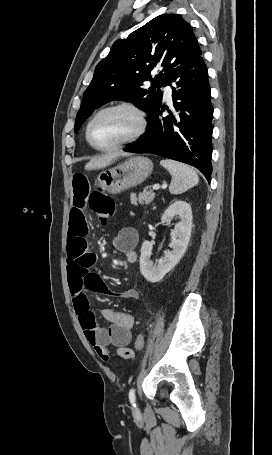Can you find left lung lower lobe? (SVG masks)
Here are the masks:
<instances>
[{
	"instance_id": "0a47b994",
	"label": "left lung lower lobe",
	"mask_w": 272,
	"mask_h": 455,
	"mask_svg": "<svg viewBox=\"0 0 272 455\" xmlns=\"http://www.w3.org/2000/svg\"><path fill=\"white\" fill-rule=\"evenodd\" d=\"M172 82L176 85L172 87L176 113L164 117L165 106L160 103L149 116L147 132L124 151L152 153L190 164L210 182L213 107L202 56L174 73L166 85Z\"/></svg>"
}]
</instances>
